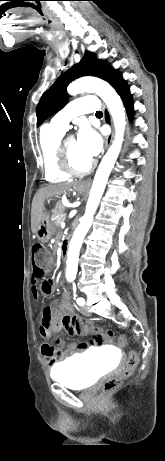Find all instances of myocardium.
<instances>
[{"label": "myocardium", "instance_id": "f54148a6", "mask_svg": "<svg viewBox=\"0 0 165 461\" xmlns=\"http://www.w3.org/2000/svg\"><path fill=\"white\" fill-rule=\"evenodd\" d=\"M72 136H63L58 142L56 149V157L58 167L68 175L82 176L88 174L95 166V162L91 160L89 164L82 169L76 168L70 161L67 141Z\"/></svg>", "mask_w": 165, "mask_h": 461}]
</instances>
